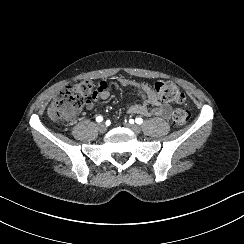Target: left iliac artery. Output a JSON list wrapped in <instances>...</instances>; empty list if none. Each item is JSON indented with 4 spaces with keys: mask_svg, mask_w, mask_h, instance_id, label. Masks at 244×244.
I'll return each instance as SVG.
<instances>
[{
    "mask_svg": "<svg viewBox=\"0 0 244 244\" xmlns=\"http://www.w3.org/2000/svg\"><path fill=\"white\" fill-rule=\"evenodd\" d=\"M135 121H136L137 124H142L143 123V119L142 118H136ZM130 123H132V121Z\"/></svg>",
    "mask_w": 244,
    "mask_h": 244,
    "instance_id": "44dca946",
    "label": "left iliac artery"
}]
</instances>
